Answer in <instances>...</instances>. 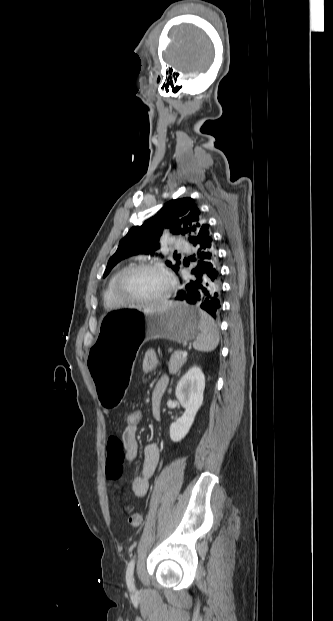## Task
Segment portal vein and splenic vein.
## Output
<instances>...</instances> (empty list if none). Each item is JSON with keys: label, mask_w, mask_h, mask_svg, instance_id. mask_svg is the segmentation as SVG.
Listing matches in <instances>:
<instances>
[{"label": "portal vein and splenic vein", "mask_w": 333, "mask_h": 621, "mask_svg": "<svg viewBox=\"0 0 333 621\" xmlns=\"http://www.w3.org/2000/svg\"><path fill=\"white\" fill-rule=\"evenodd\" d=\"M187 355H188V354H187V352H186V351L182 352V357L186 358V357H187Z\"/></svg>", "instance_id": "obj_1"}]
</instances>
